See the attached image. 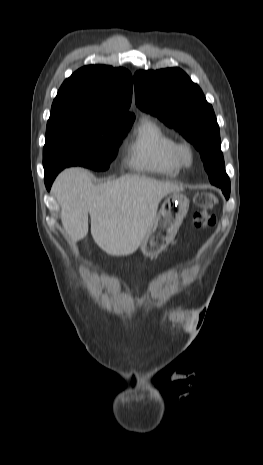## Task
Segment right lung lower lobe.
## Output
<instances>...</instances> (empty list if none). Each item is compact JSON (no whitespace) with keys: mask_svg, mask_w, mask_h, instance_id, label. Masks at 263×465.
I'll return each mask as SVG.
<instances>
[{"mask_svg":"<svg viewBox=\"0 0 263 465\" xmlns=\"http://www.w3.org/2000/svg\"><path fill=\"white\" fill-rule=\"evenodd\" d=\"M58 174V173H57ZM56 173H47L45 172V184H46V187L47 189H50V186L55 178V176L57 175Z\"/></svg>","mask_w":263,"mask_h":465,"instance_id":"obj_1","label":"right lung lower lobe"}]
</instances>
